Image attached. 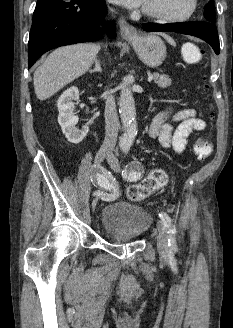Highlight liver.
Here are the masks:
<instances>
[{"label":"liver","mask_w":233,"mask_h":328,"mask_svg":"<svg viewBox=\"0 0 233 328\" xmlns=\"http://www.w3.org/2000/svg\"><path fill=\"white\" fill-rule=\"evenodd\" d=\"M100 45L83 43L53 51L34 73V89L39 100H46L68 83L83 75L95 61Z\"/></svg>","instance_id":"liver-1"}]
</instances>
